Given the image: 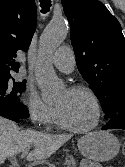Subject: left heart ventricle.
I'll return each mask as SVG.
<instances>
[{
    "label": "left heart ventricle",
    "instance_id": "obj_1",
    "mask_svg": "<svg viewBox=\"0 0 125 167\" xmlns=\"http://www.w3.org/2000/svg\"><path fill=\"white\" fill-rule=\"evenodd\" d=\"M56 107L72 126L84 128L92 124L96 116V108L92 99L83 92L64 91L56 101Z\"/></svg>",
    "mask_w": 125,
    "mask_h": 167
}]
</instances>
